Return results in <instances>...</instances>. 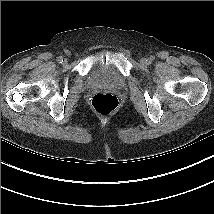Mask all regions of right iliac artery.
Instances as JSON below:
<instances>
[{
    "label": "right iliac artery",
    "instance_id": "82829eb1",
    "mask_svg": "<svg viewBox=\"0 0 214 214\" xmlns=\"http://www.w3.org/2000/svg\"><path fill=\"white\" fill-rule=\"evenodd\" d=\"M57 61H58L59 63H62V62H63V57H62V56L58 57Z\"/></svg>",
    "mask_w": 214,
    "mask_h": 214
}]
</instances>
